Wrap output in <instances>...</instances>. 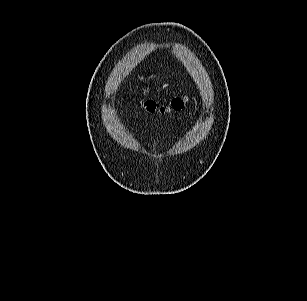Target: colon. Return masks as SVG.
Returning a JSON list of instances; mask_svg holds the SVG:
<instances>
[{
  "label": "colon",
  "instance_id": "1",
  "mask_svg": "<svg viewBox=\"0 0 307 301\" xmlns=\"http://www.w3.org/2000/svg\"><path fill=\"white\" fill-rule=\"evenodd\" d=\"M186 99L183 97H175L167 103H157L153 100L144 102L143 108L150 113H166L171 111H180L184 108Z\"/></svg>",
  "mask_w": 307,
  "mask_h": 301
}]
</instances>
